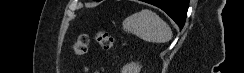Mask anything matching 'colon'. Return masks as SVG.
<instances>
[{
	"label": "colon",
	"mask_w": 244,
	"mask_h": 73,
	"mask_svg": "<svg viewBox=\"0 0 244 73\" xmlns=\"http://www.w3.org/2000/svg\"><path fill=\"white\" fill-rule=\"evenodd\" d=\"M95 40L98 45L103 50H110L114 47L115 38L108 33H106L103 29H99L95 34ZM89 43V36L86 33H81L77 36L74 44L73 51L77 56H83L87 52V47Z\"/></svg>",
	"instance_id": "5ec220e1"
}]
</instances>
